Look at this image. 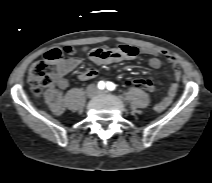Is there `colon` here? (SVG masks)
Listing matches in <instances>:
<instances>
[{
    "label": "colon",
    "mask_w": 212,
    "mask_h": 183,
    "mask_svg": "<svg viewBox=\"0 0 212 183\" xmlns=\"http://www.w3.org/2000/svg\"><path fill=\"white\" fill-rule=\"evenodd\" d=\"M77 50L74 47L52 48L44 54V59L32 64L28 74V82L34 95H39L43 88L53 84L57 64L66 56H74ZM145 91H150L153 83L149 79L135 78L127 82Z\"/></svg>",
    "instance_id": "colon-1"
}]
</instances>
